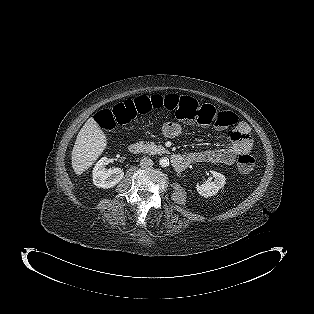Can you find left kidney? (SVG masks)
<instances>
[{
    "mask_svg": "<svg viewBox=\"0 0 314 314\" xmlns=\"http://www.w3.org/2000/svg\"><path fill=\"white\" fill-rule=\"evenodd\" d=\"M210 172L214 177L213 182H206L196 185L197 192L203 197H211L216 195L219 189L225 185L226 178L223 174L216 171Z\"/></svg>",
    "mask_w": 314,
    "mask_h": 314,
    "instance_id": "obj_1",
    "label": "left kidney"
}]
</instances>
